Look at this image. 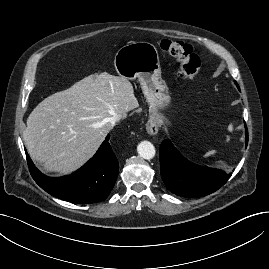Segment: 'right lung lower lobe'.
<instances>
[{"label":"right lung lower lobe","instance_id":"right-lung-lower-lobe-1","mask_svg":"<svg viewBox=\"0 0 269 269\" xmlns=\"http://www.w3.org/2000/svg\"><path fill=\"white\" fill-rule=\"evenodd\" d=\"M106 137L96 154L71 175L52 178L43 175L26 152L28 166L36 183L49 194L73 203L105 200L112 190L119 170L118 160Z\"/></svg>","mask_w":269,"mask_h":269}]
</instances>
